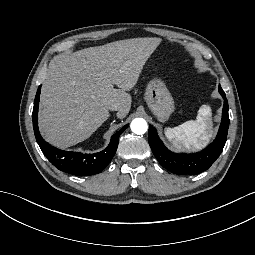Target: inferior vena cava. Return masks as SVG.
Listing matches in <instances>:
<instances>
[{
    "label": "inferior vena cava",
    "instance_id": "602c4592",
    "mask_svg": "<svg viewBox=\"0 0 255 255\" xmlns=\"http://www.w3.org/2000/svg\"><path fill=\"white\" fill-rule=\"evenodd\" d=\"M120 106L118 103H112L110 106H109V109L112 110V111H117L119 110Z\"/></svg>",
    "mask_w": 255,
    "mask_h": 255
}]
</instances>
